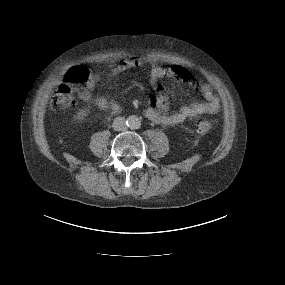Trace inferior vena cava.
I'll return each mask as SVG.
<instances>
[{
	"label": "inferior vena cava",
	"mask_w": 285,
	"mask_h": 285,
	"mask_svg": "<svg viewBox=\"0 0 285 285\" xmlns=\"http://www.w3.org/2000/svg\"><path fill=\"white\" fill-rule=\"evenodd\" d=\"M113 129L115 131H124L126 130L127 126H126V119L124 117H117L114 119L113 121V125H112Z\"/></svg>",
	"instance_id": "1"
}]
</instances>
